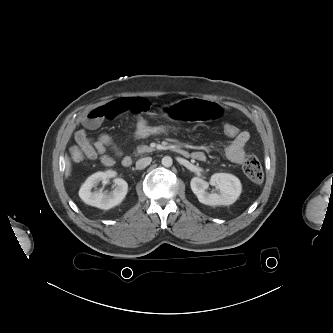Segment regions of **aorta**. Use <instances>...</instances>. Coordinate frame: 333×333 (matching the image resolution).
Listing matches in <instances>:
<instances>
[{
  "label": "aorta",
  "instance_id": "obj_1",
  "mask_svg": "<svg viewBox=\"0 0 333 333\" xmlns=\"http://www.w3.org/2000/svg\"><path fill=\"white\" fill-rule=\"evenodd\" d=\"M162 165L164 166V167H171L172 166V164H173V160H172V158L170 157V156H164L163 158H162Z\"/></svg>",
  "mask_w": 333,
  "mask_h": 333
}]
</instances>
